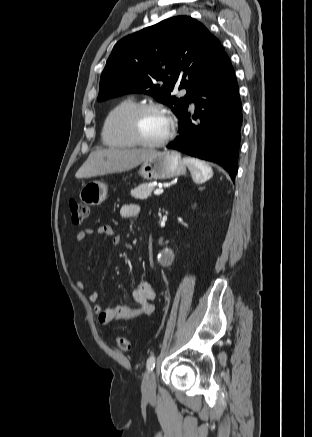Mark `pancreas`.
Wrapping results in <instances>:
<instances>
[{"label": "pancreas", "mask_w": 312, "mask_h": 437, "mask_svg": "<svg viewBox=\"0 0 312 437\" xmlns=\"http://www.w3.org/2000/svg\"><path fill=\"white\" fill-rule=\"evenodd\" d=\"M152 190L153 186H148L147 183H144L131 190V196L136 199L144 200L151 196Z\"/></svg>", "instance_id": "pancreas-1"}]
</instances>
